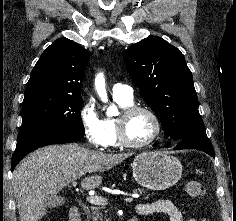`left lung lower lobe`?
Listing matches in <instances>:
<instances>
[{"label": "left lung lower lobe", "instance_id": "1", "mask_svg": "<svg viewBox=\"0 0 236 221\" xmlns=\"http://www.w3.org/2000/svg\"><path fill=\"white\" fill-rule=\"evenodd\" d=\"M175 149H197L214 157V149L207 135L194 134L178 140Z\"/></svg>", "mask_w": 236, "mask_h": 221}]
</instances>
